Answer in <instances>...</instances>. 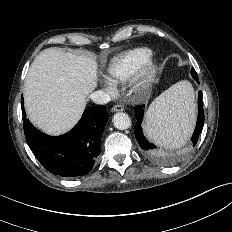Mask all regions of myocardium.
Wrapping results in <instances>:
<instances>
[{
  "instance_id": "f54148a6",
  "label": "myocardium",
  "mask_w": 232,
  "mask_h": 232,
  "mask_svg": "<svg viewBox=\"0 0 232 232\" xmlns=\"http://www.w3.org/2000/svg\"><path fill=\"white\" fill-rule=\"evenodd\" d=\"M158 72L157 63L151 58L135 75L134 83L137 88H147L155 79Z\"/></svg>"
}]
</instances>
